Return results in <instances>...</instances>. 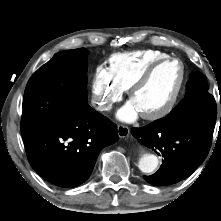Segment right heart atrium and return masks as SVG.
<instances>
[{"label":"right heart atrium","mask_w":221,"mask_h":221,"mask_svg":"<svg viewBox=\"0 0 221 221\" xmlns=\"http://www.w3.org/2000/svg\"><path fill=\"white\" fill-rule=\"evenodd\" d=\"M92 100L99 111H109L121 100L124 90L114 81L107 68L98 66L91 81Z\"/></svg>","instance_id":"1"}]
</instances>
